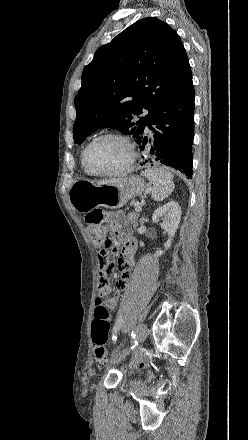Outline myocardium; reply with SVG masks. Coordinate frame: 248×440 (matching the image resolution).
<instances>
[{"instance_id": "myocardium-1", "label": "myocardium", "mask_w": 248, "mask_h": 440, "mask_svg": "<svg viewBox=\"0 0 248 440\" xmlns=\"http://www.w3.org/2000/svg\"><path fill=\"white\" fill-rule=\"evenodd\" d=\"M105 138H117V139L122 140L127 145L128 150H129V158H128L126 165L122 169L117 170V171H113V172H96L91 169L89 162H88L89 151L95 143H97L98 141L105 139ZM136 158H137V154H136L134 144L131 141V139L123 133L111 131V132L102 133V134L96 136L95 138H93L89 142V144L86 146L84 153H83V164H84V167L87 170V172L93 176L119 177V176H123V175L127 174L128 172H130L132 170L134 163L136 161Z\"/></svg>"}]
</instances>
